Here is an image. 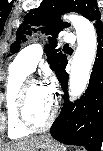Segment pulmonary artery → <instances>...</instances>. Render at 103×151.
Masks as SVG:
<instances>
[{"instance_id":"1","label":"pulmonary artery","mask_w":103,"mask_h":151,"mask_svg":"<svg viewBox=\"0 0 103 151\" xmlns=\"http://www.w3.org/2000/svg\"><path fill=\"white\" fill-rule=\"evenodd\" d=\"M62 39L67 43H74L75 36L72 33L63 34ZM43 55V45L35 43L21 50L15 58L17 64L25 68L29 73L34 71Z\"/></svg>"}]
</instances>
